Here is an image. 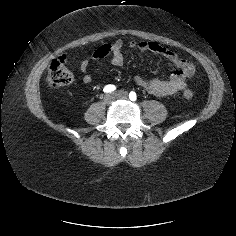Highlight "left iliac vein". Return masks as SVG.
<instances>
[{
  "instance_id": "4c4485c4",
  "label": "left iliac vein",
  "mask_w": 236,
  "mask_h": 236,
  "mask_svg": "<svg viewBox=\"0 0 236 236\" xmlns=\"http://www.w3.org/2000/svg\"><path fill=\"white\" fill-rule=\"evenodd\" d=\"M114 96L118 99H127L128 93L126 91L120 90L114 93Z\"/></svg>"
}]
</instances>
